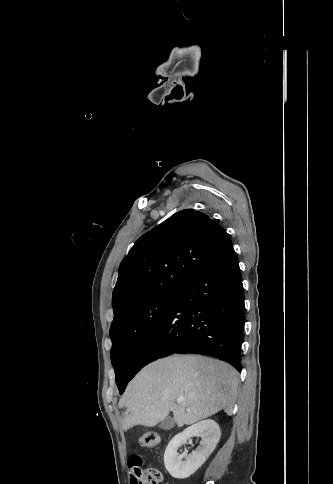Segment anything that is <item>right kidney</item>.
I'll return each instance as SVG.
<instances>
[{
    "mask_svg": "<svg viewBox=\"0 0 333 484\" xmlns=\"http://www.w3.org/2000/svg\"><path fill=\"white\" fill-rule=\"evenodd\" d=\"M220 436L219 425L211 419L200 421L186 428L182 433L172 438L165 450L164 464L166 470L177 479L190 477L211 455ZM191 437H200V446L191 455H187V452L179 455L178 449Z\"/></svg>",
    "mask_w": 333,
    "mask_h": 484,
    "instance_id": "right-kidney-1",
    "label": "right kidney"
}]
</instances>
